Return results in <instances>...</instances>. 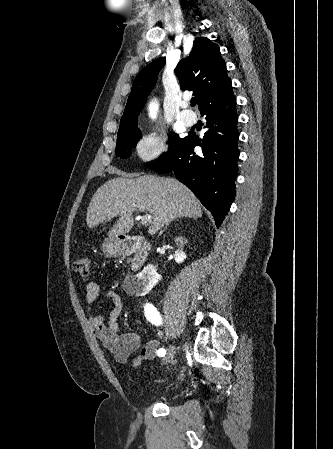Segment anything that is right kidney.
<instances>
[{
  "label": "right kidney",
  "mask_w": 333,
  "mask_h": 449,
  "mask_svg": "<svg viewBox=\"0 0 333 449\" xmlns=\"http://www.w3.org/2000/svg\"><path fill=\"white\" fill-rule=\"evenodd\" d=\"M186 254L183 248L175 252L174 259L176 263H182L186 259ZM161 280V275L156 272L153 265H147L144 269L136 275L135 293L138 295H145L151 291L154 286Z\"/></svg>",
  "instance_id": "right-kidney-1"
}]
</instances>
